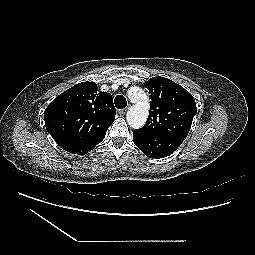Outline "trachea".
Returning <instances> with one entry per match:
<instances>
[{
  "instance_id": "1",
  "label": "trachea",
  "mask_w": 255,
  "mask_h": 255,
  "mask_svg": "<svg viewBox=\"0 0 255 255\" xmlns=\"http://www.w3.org/2000/svg\"><path fill=\"white\" fill-rule=\"evenodd\" d=\"M116 108L123 109L127 106V101L123 95H117L114 99Z\"/></svg>"
}]
</instances>
